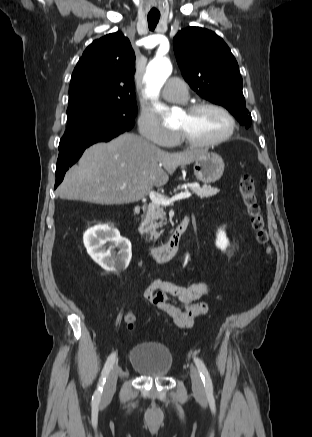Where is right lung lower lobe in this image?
Segmentation results:
<instances>
[{
	"label": "right lung lower lobe",
	"instance_id": "1",
	"mask_svg": "<svg viewBox=\"0 0 312 437\" xmlns=\"http://www.w3.org/2000/svg\"><path fill=\"white\" fill-rule=\"evenodd\" d=\"M114 136H108L100 139L90 140L85 143L78 144L70 149L60 151L56 166V182L55 188L62 182L65 172L71 167L82 155L83 151L90 145L97 142H107L114 138Z\"/></svg>",
	"mask_w": 312,
	"mask_h": 437
}]
</instances>
